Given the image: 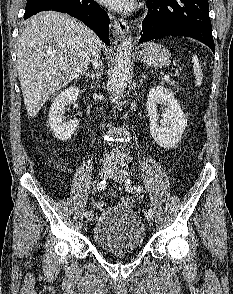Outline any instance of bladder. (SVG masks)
Here are the masks:
<instances>
[{"instance_id":"1","label":"bladder","mask_w":233,"mask_h":294,"mask_svg":"<svg viewBox=\"0 0 233 294\" xmlns=\"http://www.w3.org/2000/svg\"><path fill=\"white\" fill-rule=\"evenodd\" d=\"M144 239V225L129 207L117 206L105 210L93 228L95 245L112 255L136 252L143 246Z\"/></svg>"}]
</instances>
